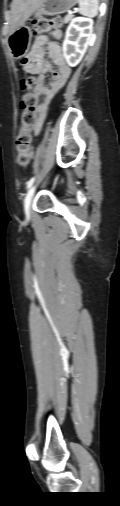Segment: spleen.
<instances>
[{"label": "spleen", "mask_w": 120, "mask_h": 506, "mask_svg": "<svg viewBox=\"0 0 120 506\" xmlns=\"http://www.w3.org/2000/svg\"><path fill=\"white\" fill-rule=\"evenodd\" d=\"M80 14L95 17L98 13V0H78Z\"/></svg>", "instance_id": "3e777b00"}]
</instances>
